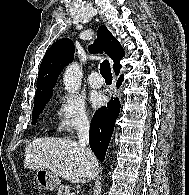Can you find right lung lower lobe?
<instances>
[{
	"label": "right lung lower lobe",
	"instance_id": "right-lung-lower-lobe-1",
	"mask_svg": "<svg viewBox=\"0 0 189 195\" xmlns=\"http://www.w3.org/2000/svg\"><path fill=\"white\" fill-rule=\"evenodd\" d=\"M123 80L124 76L121 75L116 83L117 88L120 87ZM120 106L118 98L111 99L106 106L99 108L92 118L89 143L92 151L100 161L105 158L115 121L120 112Z\"/></svg>",
	"mask_w": 189,
	"mask_h": 195
}]
</instances>
